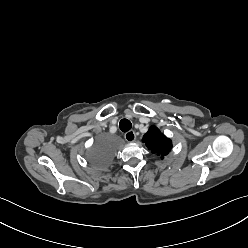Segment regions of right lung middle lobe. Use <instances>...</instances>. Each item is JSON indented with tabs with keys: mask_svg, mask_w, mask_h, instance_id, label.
Listing matches in <instances>:
<instances>
[{
	"mask_svg": "<svg viewBox=\"0 0 248 248\" xmlns=\"http://www.w3.org/2000/svg\"><path fill=\"white\" fill-rule=\"evenodd\" d=\"M86 156L91 164L102 167L110 161L112 153L108 145L104 142H98L97 145L87 151Z\"/></svg>",
	"mask_w": 248,
	"mask_h": 248,
	"instance_id": "right-lung-middle-lobe-1",
	"label": "right lung middle lobe"
}]
</instances>
